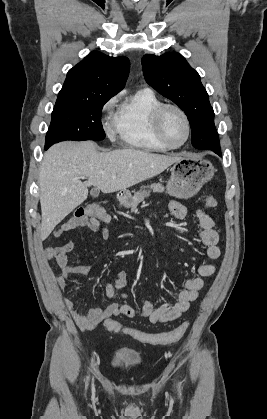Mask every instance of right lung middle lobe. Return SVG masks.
<instances>
[{
  "mask_svg": "<svg viewBox=\"0 0 267 419\" xmlns=\"http://www.w3.org/2000/svg\"><path fill=\"white\" fill-rule=\"evenodd\" d=\"M113 96H58L46 134V144L63 140H103L101 123L103 105Z\"/></svg>",
  "mask_w": 267,
  "mask_h": 419,
  "instance_id": "dd1d6c3e",
  "label": "right lung middle lobe"
}]
</instances>
